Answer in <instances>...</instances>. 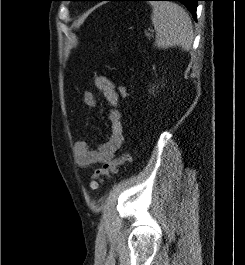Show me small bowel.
Listing matches in <instances>:
<instances>
[{"label":"small bowel","mask_w":245,"mask_h":265,"mask_svg":"<svg viewBox=\"0 0 245 265\" xmlns=\"http://www.w3.org/2000/svg\"><path fill=\"white\" fill-rule=\"evenodd\" d=\"M94 83L110 106L108 114L110 136L105 143L100 144L96 149L91 148L85 139H79L75 142L74 157L76 163L84 168L110 161L124 141L120 93L114 82L105 76H97ZM83 102L92 108L98 105L97 97L90 91L83 93Z\"/></svg>","instance_id":"1"}]
</instances>
